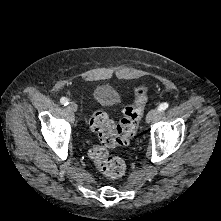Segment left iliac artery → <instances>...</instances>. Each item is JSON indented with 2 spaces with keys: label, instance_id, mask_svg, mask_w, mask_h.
<instances>
[{
  "label": "left iliac artery",
  "instance_id": "left-iliac-artery-1",
  "mask_svg": "<svg viewBox=\"0 0 221 221\" xmlns=\"http://www.w3.org/2000/svg\"><path fill=\"white\" fill-rule=\"evenodd\" d=\"M169 104L168 103H162L158 106V112H162L168 108Z\"/></svg>",
  "mask_w": 221,
  "mask_h": 221
}]
</instances>
